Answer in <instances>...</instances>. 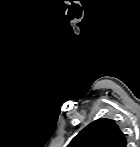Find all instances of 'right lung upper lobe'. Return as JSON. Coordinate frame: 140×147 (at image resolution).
Here are the masks:
<instances>
[{
  "mask_svg": "<svg viewBox=\"0 0 140 147\" xmlns=\"http://www.w3.org/2000/svg\"><path fill=\"white\" fill-rule=\"evenodd\" d=\"M127 141L117 124L100 118L73 138L68 147H126Z\"/></svg>",
  "mask_w": 140,
  "mask_h": 147,
  "instance_id": "obj_1",
  "label": "right lung upper lobe"
}]
</instances>
